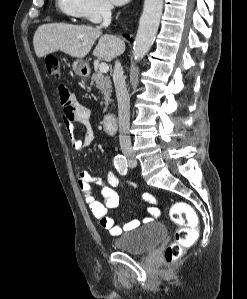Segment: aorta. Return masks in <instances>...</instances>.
<instances>
[{"label":"aorta","instance_id":"aorta-1","mask_svg":"<svg viewBox=\"0 0 247 299\" xmlns=\"http://www.w3.org/2000/svg\"><path fill=\"white\" fill-rule=\"evenodd\" d=\"M163 0H145L133 45L135 61H140L150 50L160 23Z\"/></svg>","mask_w":247,"mask_h":299}]
</instances>
